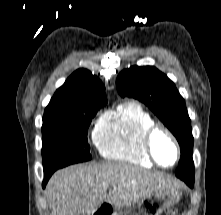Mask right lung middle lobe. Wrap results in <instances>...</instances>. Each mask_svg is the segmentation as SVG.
<instances>
[{
    "instance_id": "obj_1",
    "label": "right lung middle lobe",
    "mask_w": 221,
    "mask_h": 215,
    "mask_svg": "<svg viewBox=\"0 0 221 215\" xmlns=\"http://www.w3.org/2000/svg\"><path fill=\"white\" fill-rule=\"evenodd\" d=\"M101 104L47 106L42 126L44 173L91 159L88 127Z\"/></svg>"
}]
</instances>
